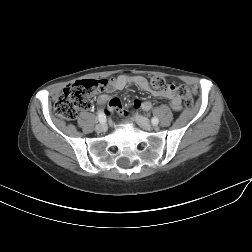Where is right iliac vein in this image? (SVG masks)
Returning <instances> with one entry per match:
<instances>
[{
  "label": "right iliac vein",
  "mask_w": 252,
  "mask_h": 252,
  "mask_svg": "<svg viewBox=\"0 0 252 252\" xmlns=\"http://www.w3.org/2000/svg\"><path fill=\"white\" fill-rule=\"evenodd\" d=\"M106 128H107L106 124H104V125L98 124L95 127V131L98 133H101V132H104L106 130Z\"/></svg>",
  "instance_id": "obj_1"
}]
</instances>
